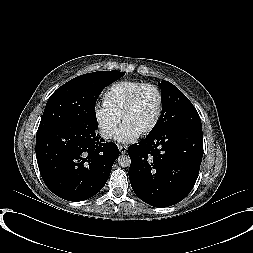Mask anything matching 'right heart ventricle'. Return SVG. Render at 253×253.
Segmentation results:
<instances>
[{
  "label": "right heart ventricle",
  "instance_id": "1",
  "mask_svg": "<svg viewBox=\"0 0 253 253\" xmlns=\"http://www.w3.org/2000/svg\"><path fill=\"white\" fill-rule=\"evenodd\" d=\"M146 84L135 80H120L111 84L102 95V103L116 115L121 111L130 95L140 86Z\"/></svg>",
  "mask_w": 253,
  "mask_h": 253
}]
</instances>
